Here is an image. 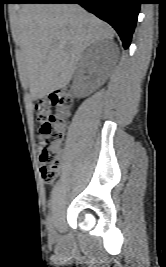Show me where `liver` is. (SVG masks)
Wrapping results in <instances>:
<instances>
[{
    "mask_svg": "<svg viewBox=\"0 0 166 267\" xmlns=\"http://www.w3.org/2000/svg\"><path fill=\"white\" fill-rule=\"evenodd\" d=\"M13 36L20 46L19 69L34 100L69 84L82 52L112 40L113 29L77 4H25Z\"/></svg>",
    "mask_w": 166,
    "mask_h": 267,
    "instance_id": "6515ba94",
    "label": "liver"
}]
</instances>
